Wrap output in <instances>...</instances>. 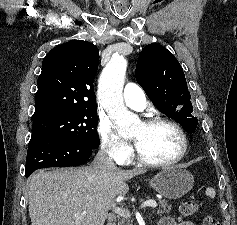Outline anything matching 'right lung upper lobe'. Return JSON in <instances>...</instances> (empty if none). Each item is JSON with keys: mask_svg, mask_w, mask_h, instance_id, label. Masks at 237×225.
<instances>
[{"mask_svg": "<svg viewBox=\"0 0 237 225\" xmlns=\"http://www.w3.org/2000/svg\"><path fill=\"white\" fill-rule=\"evenodd\" d=\"M99 50L73 40L52 49L42 62L35 96L34 120L97 109L93 88Z\"/></svg>", "mask_w": 237, "mask_h": 225, "instance_id": "right-lung-upper-lobe-1", "label": "right lung upper lobe"}]
</instances>
